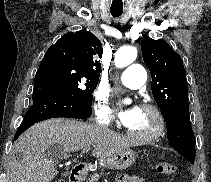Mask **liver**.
<instances>
[{
	"label": "liver",
	"mask_w": 211,
	"mask_h": 182,
	"mask_svg": "<svg viewBox=\"0 0 211 182\" xmlns=\"http://www.w3.org/2000/svg\"><path fill=\"white\" fill-rule=\"evenodd\" d=\"M67 153L96 145L92 155L107 160L135 146L129 137L73 119H50L26 130L15 142L10 160L9 182H50L58 174L56 160L47 155L51 145Z\"/></svg>",
	"instance_id": "1"
}]
</instances>
